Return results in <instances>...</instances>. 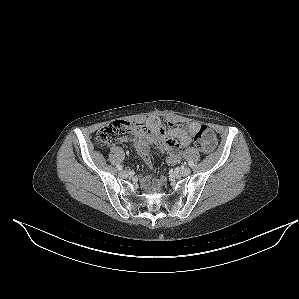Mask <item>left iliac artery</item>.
<instances>
[{"mask_svg":"<svg viewBox=\"0 0 299 299\" xmlns=\"http://www.w3.org/2000/svg\"><path fill=\"white\" fill-rule=\"evenodd\" d=\"M188 165H189L190 167H193V166H194V162H193V161H189V162H188Z\"/></svg>","mask_w":299,"mask_h":299,"instance_id":"1","label":"left iliac artery"}]
</instances>
